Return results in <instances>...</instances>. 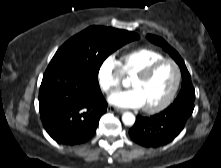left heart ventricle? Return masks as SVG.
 Instances as JSON below:
<instances>
[{"instance_id":"left-heart-ventricle-1","label":"left heart ventricle","mask_w":221,"mask_h":168,"mask_svg":"<svg viewBox=\"0 0 221 168\" xmlns=\"http://www.w3.org/2000/svg\"><path fill=\"white\" fill-rule=\"evenodd\" d=\"M176 71L171 63L159 66L146 80H132L131 86L140 94L143 106L152 107L162 103L171 92Z\"/></svg>"}]
</instances>
